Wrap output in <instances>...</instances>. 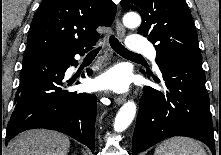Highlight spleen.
Wrapping results in <instances>:
<instances>
[{"label":"spleen","mask_w":221,"mask_h":155,"mask_svg":"<svg viewBox=\"0 0 221 155\" xmlns=\"http://www.w3.org/2000/svg\"><path fill=\"white\" fill-rule=\"evenodd\" d=\"M154 155H207L204 148L192 138L173 137L161 142Z\"/></svg>","instance_id":"obj_1"}]
</instances>
